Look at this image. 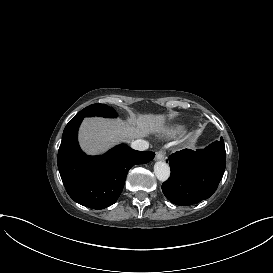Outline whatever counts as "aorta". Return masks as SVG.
I'll return each mask as SVG.
<instances>
[{
  "label": "aorta",
  "instance_id": "762f6f07",
  "mask_svg": "<svg viewBox=\"0 0 273 273\" xmlns=\"http://www.w3.org/2000/svg\"><path fill=\"white\" fill-rule=\"evenodd\" d=\"M154 173L159 181L165 182L170 177V167L167 163L158 161L154 165Z\"/></svg>",
  "mask_w": 273,
  "mask_h": 273
}]
</instances>
